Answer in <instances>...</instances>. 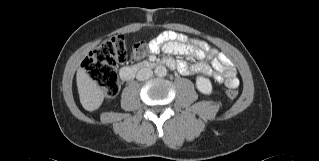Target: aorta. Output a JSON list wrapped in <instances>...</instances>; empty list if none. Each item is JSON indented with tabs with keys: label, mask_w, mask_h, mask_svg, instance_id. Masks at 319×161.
Listing matches in <instances>:
<instances>
[{
	"label": "aorta",
	"mask_w": 319,
	"mask_h": 161,
	"mask_svg": "<svg viewBox=\"0 0 319 161\" xmlns=\"http://www.w3.org/2000/svg\"><path fill=\"white\" fill-rule=\"evenodd\" d=\"M155 75H157L158 77H164L167 74V69L165 66H157L155 68Z\"/></svg>",
	"instance_id": "1"
}]
</instances>
